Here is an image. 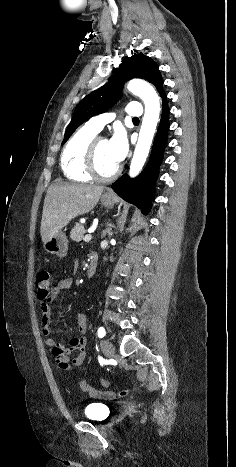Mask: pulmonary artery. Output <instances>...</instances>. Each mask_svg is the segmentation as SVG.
<instances>
[{
	"instance_id": "obj_1",
	"label": "pulmonary artery",
	"mask_w": 236,
	"mask_h": 467,
	"mask_svg": "<svg viewBox=\"0 0 236 467\" xmlns=\"http://www.w3.org/2000/svg\"><path fill=\"white\" fill-rule=\"evenodd\" d=\"M125 114L131 117H139L142 115V107L139 102L129 103L125 108ZM113 113H103L89 119L87 126L99 132L102 128L114 119Z\"/></svg>"
}]
</instances>
